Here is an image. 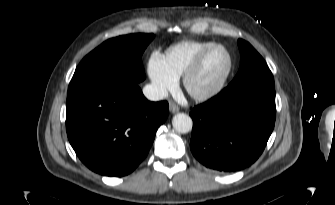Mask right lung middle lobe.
I'll list each match as a JSON object with an SVG mask.
<instances>
[{"instance_id": "dd1d6c3e", "label": "right lung middle lobe", "mask_w": 335, "mask_h": 205, "mask_svg": "<svg viewBox=\"0 0 335 205\" xmlns=\"http://www.w3.org/2000/svg\"><path fill=\"white\" fill-rule=\"evenodd\" d=\"M153 34H129L102 43L77 66L68 92L93 83L135 85L145 79L141 56Z\"/></svg>"}]
</instances>
